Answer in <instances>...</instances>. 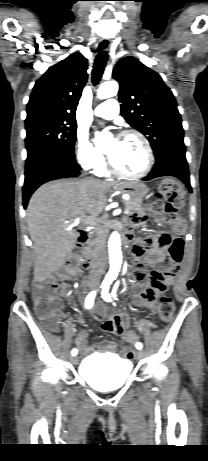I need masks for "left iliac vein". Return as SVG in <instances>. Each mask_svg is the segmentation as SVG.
I'll list each match as a JSON object with an SVG mask.
<instances>
[{"mask_svg": "<svg viewBox=\"0 0 208 461\" xmlns=\"http://www.w3.org/2000/svg\"><path fill=\"white\" fill-rule=\"evenodd\" d=\"M136 356H137L138 359L143 358V357H144V352H143V350H138V351L136 352Z\"/></svg>", "mask_w": 208, "mask_h": 461, "instance_id": "left-iliac-vein-1", "label": "left iliac vein"}]
</instances>
